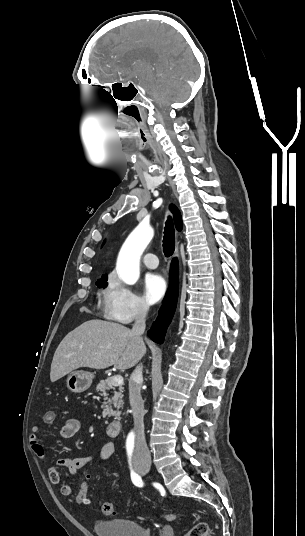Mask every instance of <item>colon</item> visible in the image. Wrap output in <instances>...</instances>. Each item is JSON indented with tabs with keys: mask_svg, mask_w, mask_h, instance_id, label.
Instances as JSON below:
<instances>
[{
	"mask_svg": "<svg viewBox=\"0 0 305 536\" xmlns=\"http://www.w3.org/2000/svg\"><path fill=\"white\" fill-rule=\"evenodd\" d=\"M54 418V411L50 410L46 413V419L48 422H51ZM88 488L86 486H83L81 490L79 491L77 495L76 503L78 505H84L88 501ZM102 510L105 514H115V506L112 502L106 501L102 505ZM163 518L168 521H175L177 519V516L174 514H166L163 515ZM186 536H209V529L207 525L203 522L198 523L196 526H194L187 534Z\"/></svg>",
	"mask_w": 305,
	"mask_h": 536,
	"instance_id": "1",
	"label": "colon"
}]
</instances>
